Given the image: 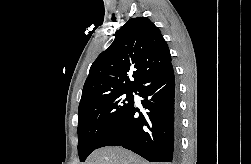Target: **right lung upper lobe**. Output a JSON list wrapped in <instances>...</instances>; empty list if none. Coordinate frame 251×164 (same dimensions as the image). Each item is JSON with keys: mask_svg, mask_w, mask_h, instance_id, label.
Instances as JSON below:
<instances>
[{"mask_svg": "<svg viewBox=\"0 0 251 164\" xmlns=\"http://www.w3.org/2000/svg\"><path fill=\"white\" fill-rule=\"evenodd\" d=\"M170 63V51L160 30L148 18H132L92 64L79 108L103 95L136 90L149 74Z\"/></svg>", "mask_w": 251, "mask_h": 164, "instance_id": "cb5924a9", "label": "right lung upper lobe"}]
</instances>
